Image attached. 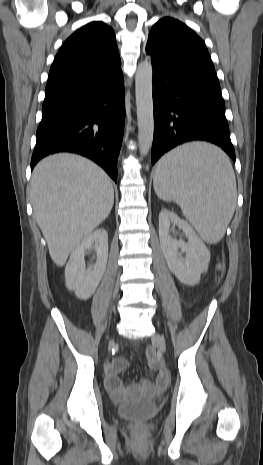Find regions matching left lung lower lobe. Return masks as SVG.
<instances>
[{
	"label": "left lung lower lobe",
	"mask_w": 263,
	"mask_h": 465,
	"mask_svg": "<svg viewBox=\"0 0 263 465\" xmlns=\"http://www.w3.org/2000/svg\"><path fill=\"white\" fill-rule=\"evenodd\" d=\"M150 55L155 116L152 164L177 145L194 140L220 146L235 162L215 70L172 64Z\"/></svg>",
	"instance_id": "0a47b994"
}]
</instances>
